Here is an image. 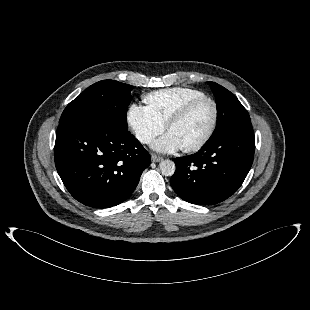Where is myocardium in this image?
Segmentation results:
<instances>
[{"mask_svg": "<svg viewBox=\"0 0 310 310\" xmlns=\"http://www.w3.org/2000/svg\"><path fill=\"white\" fill-rule=\"evenodd\" d=\"M204 101L209 102L213 108V116H212L210 127L208 131L206 132V134L204 135V137L200 141H198L196 144L182 147L183 151L185 152H196V151L201 150L203 147H205L208 144V142L213 137L217 124H218V119H219V109H218V105L216 101L209 96H201V97L194 98L188 101L187 103H185L166 123V129L169 130L172 126L182 121L196 105Z\"/></svg>", "mask_w": 310, "mask_h": 310, "instance_id": "myocardium-1", "label": "myocardium"}]
</instances>
